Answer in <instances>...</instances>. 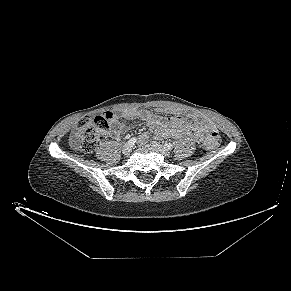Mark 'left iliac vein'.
Listing matches in <instances>:
<instances>
[{"label":"left iliac vein","instance_id":"obj_1","mask_svg":"<svg viewBox=\"0 0 291 291\" xmlns=\"http://www.w3.org/2000/svg\"><path fill=\"white\" fill-rule=\"evenodd\" d=\"M151 146L157 150L158 152H160L161 154L165 155V156H168L170 154V151L169 149L163 147L162 145H160L159 143L153 141L151 143Z\"/></svg>","mask_w":291,"mask_h":291}]
</instances>
